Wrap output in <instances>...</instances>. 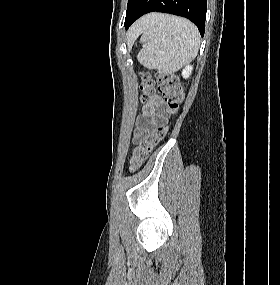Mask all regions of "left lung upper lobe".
Listing matches in <instances>:
<instances>
[{
	"label": "left lung upper lobe",
	"mask_w": 280,
	"mask_h": 285,
	"mask_svg": "<svg viewBox=\"0 0 280 285\" xmlns=\"http://www.w3.org/2000/svg\"><path fill=\"white\" fill-rule=\"evenodd\" d=\"M137 0H129L128 1V6H127V11H126V17L127 15L131 12V10L133 9L135 3Z\"/></svg>",
	"instance_id": "obj_1"
}]
</instances>
